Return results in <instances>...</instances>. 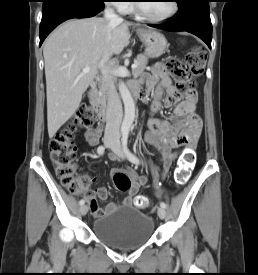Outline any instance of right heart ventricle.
Here are the masks:
<instances>
[{"label": "right heart ventricle", "mask_w": 258, "mask_h": 275, "mask_svg": "<svg viewBox=\"0 0 258 275\" xmlns=\"http://www.w3.org/2000/svg\"><path fill=\"white\" fill-rule=\"evenodd\" d=\"M132 10H133V8H132L131 6H127V7H126V11H127V12H131Z\"/></svg>", "instance_id": "obj_1"}]
</instances>
